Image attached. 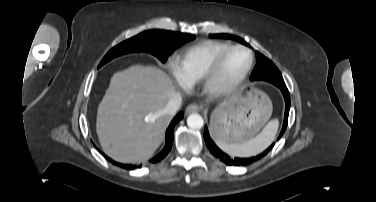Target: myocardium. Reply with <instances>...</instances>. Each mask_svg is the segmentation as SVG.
Listing matches in <instances>:
<instances>
[{
  "instance_id": "f54148a6",
  "label": "myocardium",
  "mask_w": 376,
  "mask_h": 202,
  "mask_svg": "<svg viewBox=\"0 0 376 202\" xmlns=\"http://www.w3.org/2000/svg\"><path fill=\"white\" fill-rule=\"evenodd\" d=\"M235 50H243L248 53L249 55L248 65L235 80L227 84H220L218 82V77L222 69V66L226 58L228 57V55ZM253 63H254V55H253V52L249 48L240 44L231 45L216 58V60L212 63V65L206 71L202 79L203 88L205 92L213 98H223L232 94L245 81V79L247 78L248 74L250 73L252 69Z\"/></svg>"
}]
</instances>
